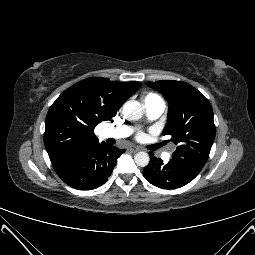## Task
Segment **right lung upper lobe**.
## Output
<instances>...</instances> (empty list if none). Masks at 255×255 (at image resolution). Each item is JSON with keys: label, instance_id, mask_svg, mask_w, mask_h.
<instances>
[{"label": "right lung upper lobe", "instance_id": "right-lung-upper-lobe-1", "mask_svg": "<svg viewBox=\"0 0 255 255\" xmlns=\"http://www.w3.org/2000/svg\"><path fill=\"white\" fill-rule=\"evenodd\" d=\"M140 85V82L87 78L65 90L46 117L44 143L51 162L98 144L95 126L110 120Z\"/></svg>", "mask_w": 255, "mask_h": 255}]
</instances>
